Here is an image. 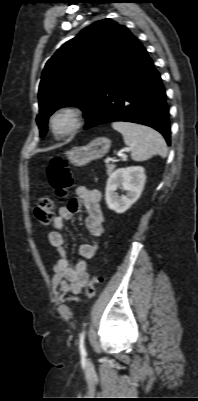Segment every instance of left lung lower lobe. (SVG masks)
Listing matches in <instances>:
<instances>
[{
  "instance_id": "obj_1",
  "label": "left lung lower lobe",
  "mask_w": 198,
  "mask_h": 401,
  "mask_svg": "<svg viewBox=\"0 0 198 401\" xmlns=\"http://www.w3.org/2000/svg\"><path fill=\"white\" fill-rule=\"evenodd\" d=\"M168 116L160 74L137 40L98 93L85 129L114 121L139 123L159 131L170 145Z\"/></svg>"
}]
</instances>
